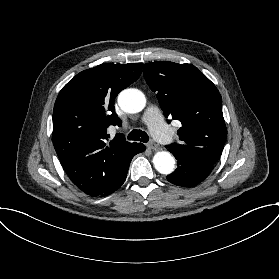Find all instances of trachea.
<instances>
[{
  "mask_svg": "<svg viewBox=\"0 0 279 279\" xmlns=\"http://www.w3.org/2000/svg\"><path fill=\"white\" fill-rule=\"evenodd\" d=\"M129 140L141 141L147 143L149 140L148 134L142 130L134 129L129 133Z\"/></svg>",
  "mask_w": 279,
  "mask_h": 279,
  "instance_id": "3493384b",
  "label": "trachea"
}]
</instances>
